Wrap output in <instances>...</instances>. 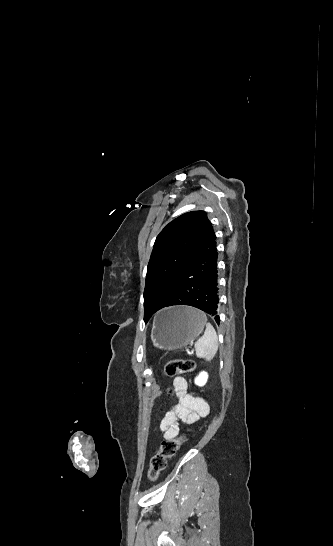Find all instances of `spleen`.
Masks as SVG:
<instances>
[{
  "instance_id": "1",
  "label": "spleen",
  "mask_w": 333,
  "mask_h": 546,
  "mask_svg": "<svg viewBox=\"0 0 333 546\" xmlns=\"http://www.w3.org/2000/svg\"><path fill=\"white\" fill-rule=\"evenodd\" d=\"M202 314L206 319V329L204 335L195 343L196 356L205 360H211L218 350V336L214 327L210 323H207L205 313L202 312Z\"/></svg>"
}]
</instances>
